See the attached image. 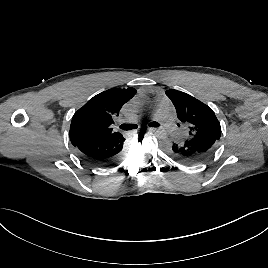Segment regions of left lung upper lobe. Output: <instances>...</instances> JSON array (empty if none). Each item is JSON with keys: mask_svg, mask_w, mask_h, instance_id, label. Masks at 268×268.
I'll use <instances>...</instances> for the list:
<instances>
[{"mask_svg": "<svg viewBox=\"0 0 268 268\" xmlns=\"http://www.w3.org/2000/svg\"><path fill=\"white\" fill-rule=\"evenodd\" d=\"M166 95L174 104L178 119L189 127L188 137L208 136L220 139L221 126L209 106L178 90H167Z\"/></svg>", "mask_w": 268, "mask_h": 268, "instance_id": "5c2ea615", "label": "left lung upper lobe"}]
</instances>
